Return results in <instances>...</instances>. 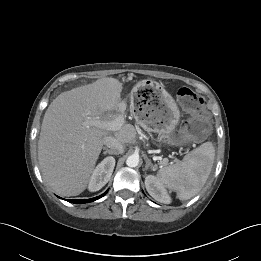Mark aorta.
Returning a JSON list of instances; mask_svg holds the SVG:
<instances>
[{"label":"aorta","instance_id":"obj_1","mask_svg":"<svg viewBox=\"0 0 261 261\" xmlns=\"http://www.w3.org/2000/svg\"><path fill=\"white\" fill-rule=\"evenodd\" d=\"M126 164L129 167H136L139 164V156L130 155L126 160Z\"/></svg>","mask_w":261,"mask_h":261}]
</instances>
